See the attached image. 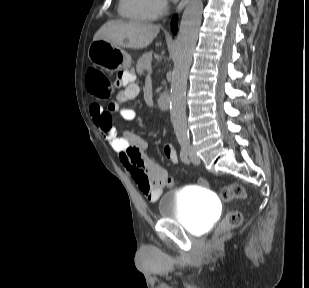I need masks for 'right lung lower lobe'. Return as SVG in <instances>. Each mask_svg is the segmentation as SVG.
<instances>
[{
    "label": "right lung lower lobe",
    "instance_id": "98d812e1",
    "mask_svg": "<svg viewBox=\"0 0 309 288\" xmlns=\"http://www.w3.org/2000/svg\"><path fill=\"white\" fill-rule=\"evenodd\" d=\"M173 33L175 34L177 32V26H176V17L172 21V27H171Z\"/></svg>",
    "mask_w": 309,
    "mask_h": 288
}]
</instances>
